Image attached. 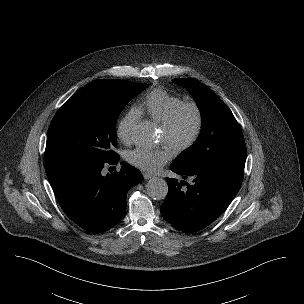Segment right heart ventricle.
I'll use <instances>...</instances> for the list:
<instances>
[{
  "mask_svg": "<svg viewBox=\"0 0 304 304\" xmlns=\"http://www.w3.org/2000/svg\"><path fill=\"white\" fill-rule=\"evenodd\" d=\"M183 100L168 91L157 88L142 96L135 106V110L155 123L161 125L171 111Z\"/></svg>",
  "mask_w": 304,
  "mask_h": 304,
  "instance_id": "e07e8e85",
  "label": "right heart ventricle"
}]
</instances>
